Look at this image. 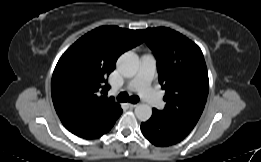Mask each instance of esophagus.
Returning <instances> with one entry per match:
<instances>
[{"instance_id":"obj_1","label":"esophagus","mask_w":261,"mask_h":162,"mask_svg":"<svg viewBox=\"0 0 261 162\" xmlns=\"http://www.w3.org/2000/svg\"><path fill=\"white\" fill-rule=\"evenodd\" d=\"M128 105H129L131 108H135L138 104L129 103Z\"/></svg>"}]
</instances>
